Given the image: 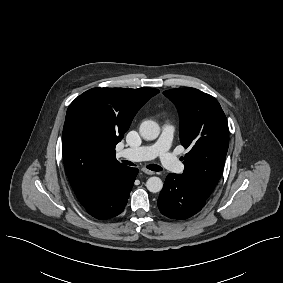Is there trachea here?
<instances>
[{
  "label": "trachea",
  "instance_id": "obj_1",
  "mask_svg": "<svg viewBox=\"0 0 283 283\" xmlns=\"http://www.w3.org/2000/svg\"><path fill=\"white\" fill-rule=\"evenodd\" d=\"M123 163H125L126 165L134 166V164L130 161H123ZM146 167L152 171H162V167L158 165L150 164V165H147Z\"/></svg>",
  "mask_w": 283,
  "mask_h": 283
}]
</instances>
